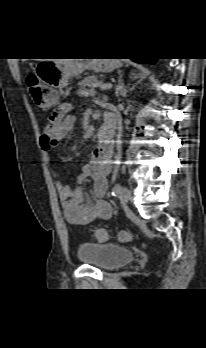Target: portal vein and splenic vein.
I'll return each mask as SVG.
<instances>
[{"label": "portal vein and splenic vein", "mask_w": 206, "mask_h": 348, "mask_svg": "<svg viewBox=\"0 0 206 348\" xmlns=\"http://www.w3.org/2000/svg\"><path fill=\"white\" fill-rule=\"evenodd\" d=\"M99 88L102 91H106L112 88V84L111 83L100 84Z\"/></svg>", "instance_id": "18ae733b"}]
</instances>
